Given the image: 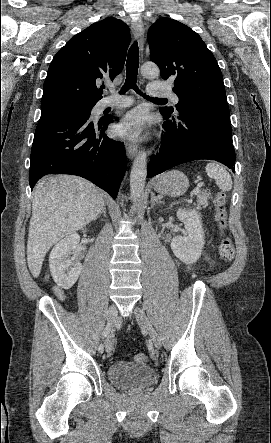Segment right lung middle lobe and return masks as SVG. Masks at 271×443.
<instances>
[{
	"mask_svg": "<svg viewBox=\"0 0 271 443\" xmlns=\"http://www.w3.org/2000/svg\"><path fill=\"white\" fill-rule=\"evenodd\" d=\"M94 105L95 103H83L73 100H58L42 103L41 116L55 112L75 111L89 117Z\"/></svg>",
	"mask_w": 271,
	"mask_h": 443,
	"instance_id": "1",
	"label": "right lung middle lobe"
}]
</instances>
